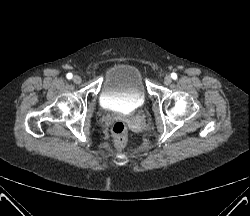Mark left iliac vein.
Returning <instances> with one entry per match:
<instances>
[{"instance_id":"obj_1","label":"left iliac vein","mask_w":250,"mask_h":216,"mask_svg":"<svg viewBox=\"0 0 250 216\" xmlns=\"http://www.w3.org/2000/svg\"><path fill=\"white\" fill-rule=\"evenodd\" d=\"M171 82H172L171 76L167 75V76L164 78V84H165V85H169V84H171Z\"/></svg>"}]
</instances>
